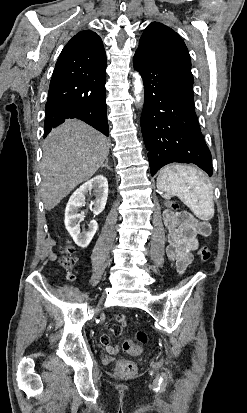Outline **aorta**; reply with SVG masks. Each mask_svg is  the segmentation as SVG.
<instances>
[{
	"instance_id": "762f6f07",
	"label": "aorta",
	"mask_w": 247,
	"mask_h": 413,
	"mask_svg": "<svg viewBox=\"0 0 247 413\" xmlns=\"http://www.w3.org/2000/svg\"><path fill=\"white\" fill-rule=\"evenodd\" d=\"M133 77H134V82H133V84H134V94H135L136 100L140 101L141 100V91L143 89L142 79H141V76L138 73H135L133 75Z\"/></svg>"
}]
</instances>
